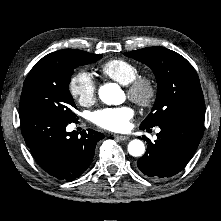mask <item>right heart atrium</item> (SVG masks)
<instances>
[{
  "instance_id": "d8ad5b80",
  "label": "right heart atrium",
  "mask_w": 221,
  "mask_h": 221,
  "mask_svg": "<svg viewBox=\"0 0 221 221\" xmlns=\"http://www.w3.org/2000/svg\"><path fill=\"white\" fill-rule=\"evenodd\" d=\"M68 90L71 96L83 106L95 101L96 84L92 75L87 71H78L73 74L68 84Z\"/></svg>"
}]
</instances>
